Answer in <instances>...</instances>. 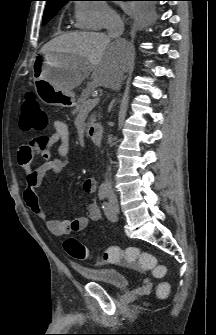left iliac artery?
Returning a JSON list of instances; mask_svg holds the SVG:
<instances>
[{
    "instance_id": "obj_1",
    "label": "left iliac artery",
    "mask_w": 216,
    "mask_h": 335,
    "mask_svg": "<svg viewBox=\"0 0 216 335\" xmlns=\"http://www.w3.org/2000/svg\"><path fill=\"white\" fill-rule=\"evenodd\" d=\"M102 208L104 210V213L105 215L107 216L108 219L112 220L113 218V213H112V209H111V206L107 203V202H104L102 204Z\"/></svg>"
}]
</instances>
